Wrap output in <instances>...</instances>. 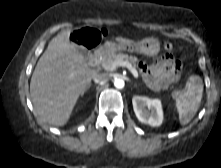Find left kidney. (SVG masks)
Wrapping results in <instances>:
<instances>
[{"label":"left kidney","mask_w":221,"mask_h":168,"mask_svg":"<svg viewBox=\"0 0 221 168\" xmlns=\"http://www.w3.org/2000/svg\"><path fill=\"white\" fill-rule=\"evenodd\" d=\"M133 109L137 119L145 124L158 127L163 122L162 104L159 99H150L144 96H134Z\"/></svg>","instance_id":"obj_1"}]
</instances>
